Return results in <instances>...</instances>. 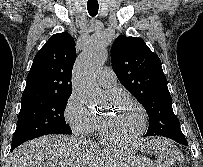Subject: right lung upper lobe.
Returning <instances> with one entry per match:
<instances>
[{"label": "right lung upper lobe", "mask_w": 203, "mask_h": 167, "mask_svg": "<svg viewBox=\"0 0 203 167\" xmlns=\"http://www.w3.org/2000/svg\"><path fill=\"white\" fill-rule=\"evenodd\" d=\"M75 41L68 32L54 34L34 57L21 101L54 95H71Z\"/></svg>", "instance_id": "1"}]
</instances>
